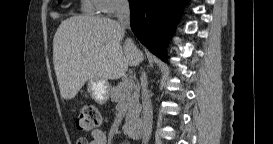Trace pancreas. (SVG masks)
I'll use <instances>...</instances> for the list:
<instances>
[{
    "label": "pancreas",
    "mask_w": 273,
    "mask_h": 144,
    "mask_svg": "<svg viewBox=\"0 0 273 144\" xmlns=\"http://www.w3.org/2000/svg\"><path fill=\"white\" fill-rule=\"evenodd\" d=\"M126 81L118 83L117 86L110 87L109 94L113 102L125 101L127 109L125 121L127 125H130L138 119L141 107L139 104V88L134 86L132 89H128Z\"/></svg>",
    "instance_id": "pancreas-1"
}]
</instances>
